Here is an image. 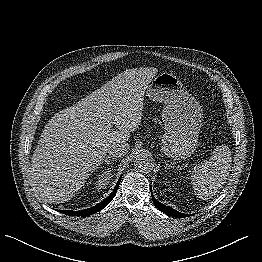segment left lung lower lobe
Listing matches in <instances>:
<instances>
[{
  "label": "left lung lower lobe",
  "mask_w": 262,
  "mask_h": 262,
  "mask_svg": "<svg viewBox=\"0 0 262 262\" xmlns=\"http://www.w3.org/2000/svg\"><path fill=\"white\" fill-rule=\"evenodd\" d=\"M151 196H152V199H153V202H154V205L156 206V208H158L159 210L167 213L168 215L172 216V217H175V218H184L186 216H189V215H186V214H183L181 212H178L176 210H174L173 208L171 207H168V206H165L163 205L162 203L158 202L153 194L151 193Z\"/></svg>",
  "instance_id": "1"
}]
</instances>
